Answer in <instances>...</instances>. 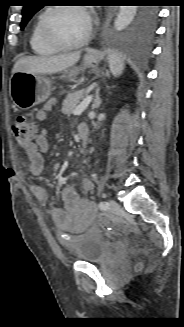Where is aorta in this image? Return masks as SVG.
I'll list each match as a JSON object with an SVG mask.
<instances>
[{
	"label": "aorta",
	"mask_w": 184,
	"mask_h": 327,
	"mask_svg": "<svg viewBox=\"0 0 184 327\" xmlns=\"http://www.w3.org/2000/svg\"><path fill=\"white\" fill-rule=\"evenodd\" d=\"M137 13V6H120L114 26L117 31L125 29L131 24Z\"/></svg>",
	"instance_id": "1"
}]
</instances>
